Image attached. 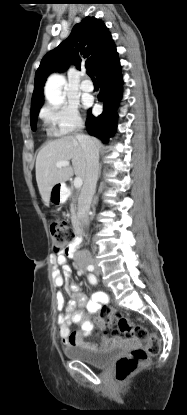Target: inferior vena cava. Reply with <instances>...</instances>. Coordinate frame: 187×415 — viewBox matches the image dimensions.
Segmentation results:
<instances>
[{
  "mask_svg": "<svg viewBox=\"0 0 187 415\" xmlns=\"http://www.w3.org/2000/svg\"><path fill=\"white\" fill-rule=\"evenodd\" d=\"M82 127V126H81ZM80 127V128H81ZM79 143L81 144L86 159V173L84 184L78 200V217L85 228L89 227V211L93 195L96 190L99 172V153L93 140L86 135H77ZM83 254L90 257L89 252Z\"/></svg>",
  "mask_w": 187,
  "mask_h": 415,
  "instance_id": "inferior-vena-cava-1",
  "label": "inferior vena cava"
}]
</instances>
